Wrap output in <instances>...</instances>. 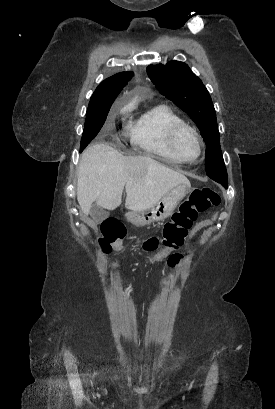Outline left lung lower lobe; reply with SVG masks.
Segmentation results:
<instances>
[{"mask_svg":"<svg viewBox=\"0 0 275 409\" xmlns=\"http://www.w3.org/2000/svg\"><path fill=\"white\" fill-rule=\"evenodd\" d=\"M221 185H222L223 187H225V189H227V186H228V185H223V184H221Z\"/></svg>","mask_w":275,"mask_h":409,"instance_id":"1","label":"left lung lower lobe"}]
</instances>
